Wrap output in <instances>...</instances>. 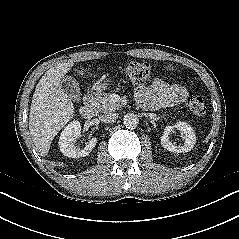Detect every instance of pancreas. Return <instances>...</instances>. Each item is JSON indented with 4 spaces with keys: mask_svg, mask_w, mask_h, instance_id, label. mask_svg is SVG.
<instances>
[{
    "mask_svg": "<svg viewBox=\"0 0 239 239\" xmlns=\"http://www.w3.org/2000/svg\"><path fill=\"white\" fill-rule=\"evenodd\" d=\"M120 107L121 104L114 101L113 94H105L97 102V108L101 112L115 111Z\"/></svg>",
    "mask_w": 239,
    "mask_h": 239,
    "instance_id": "obj_1",
    "label": "pancreas"
}]
</instances>
